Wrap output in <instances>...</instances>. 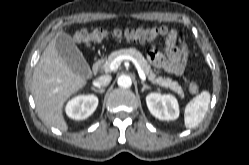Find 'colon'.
I'll return each instance as SVG.
<instances>
[{
  "instance_id": "colon-1",
  "label": "colon",
  "mask_w": 249,
  "mask_h": 165,
  "mask_svg": "<svg viewBox=\"0 0 249 165\" xmlns=\"http://www.w3.org/2000/svg\"><path fill=\"white\" fill-rule=\"evenodd\" d=\"M167 27H145V28H128L125 30L115 29L111 32L97 28L93 30H81L75 34V40L81 44H90L92 42H101L108 38L114 40L125 39L130 42H144L153 40L160 36L168 35ZM190 91L196 93L198 85L195 82L190 83Z\"/></svg>"
}]
</instances>
